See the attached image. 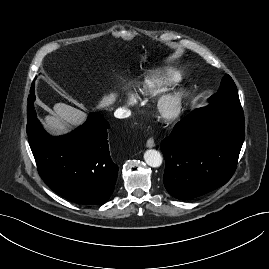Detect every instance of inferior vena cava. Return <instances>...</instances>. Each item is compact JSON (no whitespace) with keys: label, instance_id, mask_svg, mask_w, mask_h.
<instances>
[{"label":"inferior vena cava","instance_id":"inferior-vena-cava-1","mask_svg":"<svg viewBox=\"0 0 269 269\" xmlns=\"http://www.w3.org/2000/svg\"><path fill=\"white\" fill-rule=\"evenodd\" d=\"M131 115V112L127 109H123V108H118L115 112H114V116L116 118H127Z\"/></svg>","mask_w":269,"mask_h":269}]
</instances>
